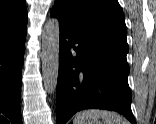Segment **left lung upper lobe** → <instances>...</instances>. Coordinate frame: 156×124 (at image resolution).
<instances>
[{
    "label": "left lung upper lobe",
    "mask_w": 156,
    "mask_h": 124,
    "mask_svg": "<svg viewBox=\"0 0 156 124\" xmlns=\"http://www.w3.org/2000/svg\"><path fill=\"white\" fill-rule=\"evenodd\" d=\"M51 12L78 31L128 51L125 16L117 0H55Z\"/></svg>",
    "instance_id": "obj_1"
}]
</instances>
